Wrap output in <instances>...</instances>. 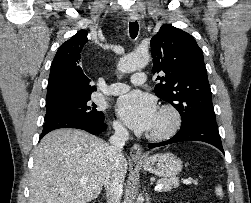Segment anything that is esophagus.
<instances>
[{
  "instance_id": "34e87169",
  "label": "esophagus",
  "mask_w": 251,
  "mask_h": 203,
  "mask_svg": "<svg viewBox=\"0 0 251 203\" xmlns=\"http://www.w3.org/2000/svg\"><path fill=\"white\" fill-rule=\"evenodd\" d=\"M131 21H136L139 19V14L136 11H131L129 14ZM130 156L133 159L141 160L144 158L142 147L139 144H134L130 149Z\"/></svg>"
}]
</instances>
